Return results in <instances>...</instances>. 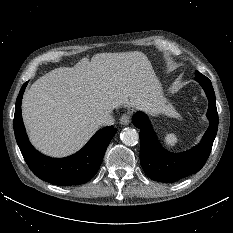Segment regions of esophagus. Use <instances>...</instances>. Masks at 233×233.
<instances>
[{"label":"esophagus","instance_id":"esophagus-1","mask_svg":"<svg viewBox=\"0 0 233 233\" xmlns=\"http://www.w3.org/2000/svg\"><path fill=\"white\" fill-rule=\"evenodd\" d=\"M130 121H131V117L130 114L128 113L123 114L120 118V123L123 125H128Z\"/></svg>","mask_w":233,"mask_h":233}]
</instances>
